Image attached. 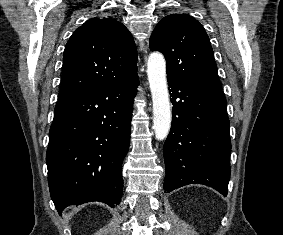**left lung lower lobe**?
I'll use <instances>...</instances> for the list:
<instances>
[{"label":"left lung lower lobe","instance_id":"obj_1","mask_svg":"<svg viewBox=\"0 0 283 235\" xmlns=\"http://www.w3.org/2000/svg\"><path fill=\"white\" fill-rule=\"evenodd\" d=\"M172 92V126L163 147L169 193L200 183L227 195L230 178L229 119L222 90L167 77Z\"/></svg>","mask_w":283,"mask_h":235}]
</instances>
